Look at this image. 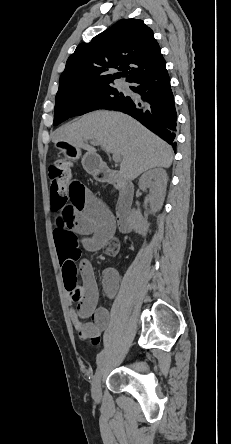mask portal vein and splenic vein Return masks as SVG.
Here are the masks:
<instances>
[{"mask_svg": "<svg viewBox=\"0 0 231 444\" xmlns=\"http://www.w3.org/2000/svg\"><path fill=\"white\" fill-rule=\"evenodd\" d=\"M91 144H93V145H99V143L97 142V141H91ZM120 160H121V157L118 155V154H113V161L114 162H120Z\"/></svg>", "mask_w": 231, "mask_h": 444, "instance_id": "portal-vein-and-splenic-vein-1", "label": "portal vein and splenic vein"}]
</instances>
